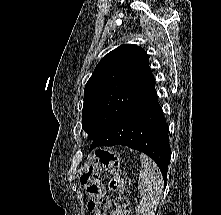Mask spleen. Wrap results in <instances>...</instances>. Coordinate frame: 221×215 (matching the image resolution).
Returning a JSON list of instances; mask_svg holds the SVG:
<instances>
[{
	"label": "spleen",
	"instance_id": "1",
	"mask_svg": "<svg viewBox=\"0 0 221 215\" xmlns=\"http://www.w3.org/2000/svg\"><path fill=\"white\" fill-rule=\"evenodd\" d=\"M141 170L138 189L140 202L136 206V215H155L163 193L162 174L155 162L145 154L140 155Z\"/></svg>",
	"mask_w": 221,
	"mask_h": 215
}]
</instances>
